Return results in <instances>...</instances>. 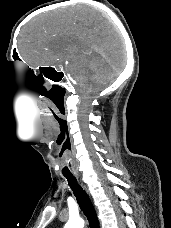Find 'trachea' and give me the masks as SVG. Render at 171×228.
Returning a JSON list of instances; mask_svg holds the SVG:
<instances>
[{
  "label": "trachea",
  "instance_id": "1",
  "mask_svg": "<svg viewBox=\"0 0 171 228\" xmlns=\"http://www.w3.org/2000/svg\"><path fill=\"white\" fill-rule=\"evenodd\" d=\"M68 180L70 188L73 190L77 202L87 217L90 228H99V223L95 209L87 193L78 185L76 178L72 175H65Z\"/></svg>",
  "mask_w": 171,
  "mask_h": 228
}]
</instances>
